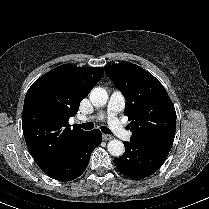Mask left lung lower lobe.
Here are the masks:
<instances>
[{
  "mask_svg": "<svg viewBox=\"0 0 209 209\" xmlns=\"http://www.w3.org/2000/svg\"><path fill=\"white\" fill-rule=\"evenodd\" d=\"M122 157L114 160L116 168L132 179H143L155 173L165 162L169 151L165 148L146 146L131 140Z\"/></svg>",
  "mask_w": 209,
  "mask_h": 209,
  "instance_id": "0a47b994",
  "label": "left lung lower lobe"
}]
</instances>
